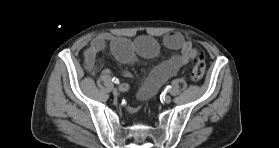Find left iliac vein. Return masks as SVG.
I'll list each match as a JSON object with an SVG mask.
<instances>
[{"label": "left iliac vein", "mask_w": 279, "mask_h": 148, "mask_svg": "<svg viewBox=\"0 0 279 148\" xmlns=\"http://www.w3.org/2000/svg\"><path fill=\"white\" fill-rule=\"evenodd\" d=\"M171 101H172L171 96H169V95L165 96V98H164L165 103L169 104Z\"/></svg>", "instance_id": "left-iliac-vein-1"}]
</instances>
